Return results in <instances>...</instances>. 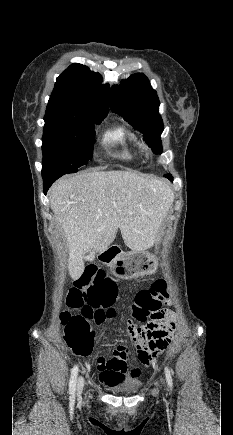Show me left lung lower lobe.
<instances>
[{
	"label": "left lung lower lobe",
	"mask_w": 233,
	"mask_h": 435,
	"mask_svg": "<svg viewBox=\"0 0 233 435\" xmlns=\"http://www.w3.org/2000/svg\"><path fill=\"white\" fill-rule=\"evenodd\" d=\"M165 177L168 178L169 180L173 181V177L171 174H166Z\"/></svg>",
	"instance_id": "1"
}]
</instances>
